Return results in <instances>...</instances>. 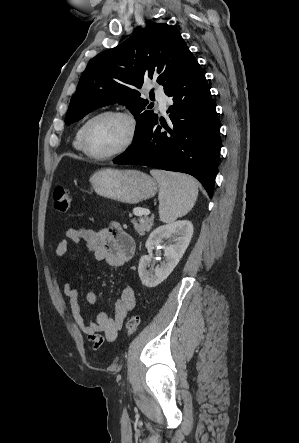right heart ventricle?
<instances>
[{
  "label": "right heart ventricle",
  "instance_id": "obj_1",
  "mask_svg": "<svg viewBox=\"0 0 299 443\" xmlns=\"http://www.w3.org/2000/svg\"><path fill=\"white\" fill-rule=\"evenodd\" d=\"M84 125V124H83ZM83 125H81L78 130L76 131L74 140H73V147L79 151V152H83L82 147H81V132H82V128Z\"/></svg>",
  "mask_w": 299,
  "mask_h": 443
}]
</instances>
